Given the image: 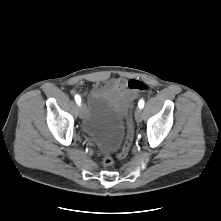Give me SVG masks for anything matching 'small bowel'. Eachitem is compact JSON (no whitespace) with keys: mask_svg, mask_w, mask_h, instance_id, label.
I'll return each mask as SVG.
<instances>
[{"mask_svg":"<svg viewBox=\"0 0 221 221\" xmlns=\"http://www.w3.org/2000/svg\"><path fill=\"white\" fill-rule=\"evenodd\" d=\"M101 88L107 89L112 95L120 109L125 113L136 94L128 89L127 81L124 78H112L100 85Z\"/></svg>","mask_w":221,"mask_h":221,"instance_id":"obj_1","label":"small bowel"}]
</instances>
